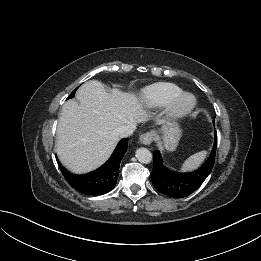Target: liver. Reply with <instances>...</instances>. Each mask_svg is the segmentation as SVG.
I'll return each instance as SVG.
<instances>
[{
    "label": "liver",
    "mask_w": 261,
    "mask_h": 261,
    "mask_svg": "<svg viewBox=\"0 0 261 261\" xmlns=\"http://www.w3.org/2000/svg\"><path fill=\"white\" fill-rule=\"evenodd\" d=\"M76 99L79 103L69 100L62 107L56 143L61 163L75 173L101 166L119 142L123 125L150 118L138 96L118 89L108 93L97 80L85 82Z\"/></svg>",
    "instance_id": "6515ba94"
}]
</instances>
